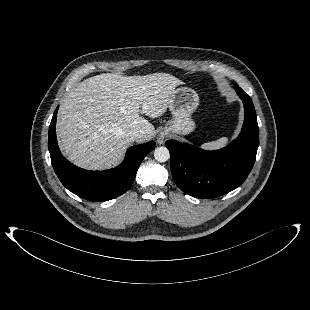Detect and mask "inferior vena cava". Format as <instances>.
<instances>
[{
	"label": "inferior vena cava",
	"mask_w": 310,
	"mask_h": 310,
	"mask_svg": "<svg viewBox=\"0 0 310 310\" xmlns=\"http://www.w3.org/2000/svg\"><path fill=\"white\" fill-rule=\"evenodd\" d=\"M130 139L134 142L142 137V132L139 130H132L129 132Z\"/></svg>",
	"instance_id": "obj_1"
}]
</instances>
